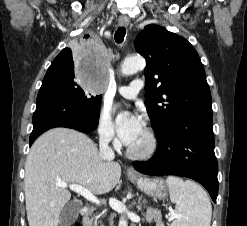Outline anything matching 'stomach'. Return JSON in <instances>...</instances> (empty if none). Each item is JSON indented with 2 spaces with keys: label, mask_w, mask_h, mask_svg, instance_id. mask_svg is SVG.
<instances>
[{
  "label": "stomach",
  "mask_w": 247,
  "mask_h": 226,
  "mask_svg": "<svg viewBox=\"0 0 247 226\" xmlns=\"http://www.w3.org/2000/svg\"><path fill=\"white\" fill-rule=\"evenodd\" d=\"M129 179L140 189L142 192L153 197L154 199H165L168 194L167 186L162 179L147 178V177H131Z\"/></svg>",
  "instance_id": "1"
}]
</instances>
